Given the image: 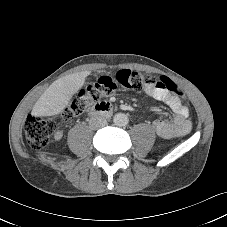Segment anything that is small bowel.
<instances>
[{
	"label": "small bowel",
	"instance_id": "c3829d8e",
	"mask_svg": "<svg viewBox=\"0 0 227 227\" xmlns=\"http://www.w3.org/2000/svg\"><path fill=\"white\" fill-rule=\"evenodd\" d=\"M145 92L149 97L168 105L174 113L172 121L164 119L153 121V128L158 136L171 139L183 136L190 131L189 110L178 95L166 89V85L161 82H156L155 86L145 88ZM55 137L61 139L62 133L57 132Z\"/></svg>",
	"mask_w": 227,
	"mask_h": 227
}]
</instances>
